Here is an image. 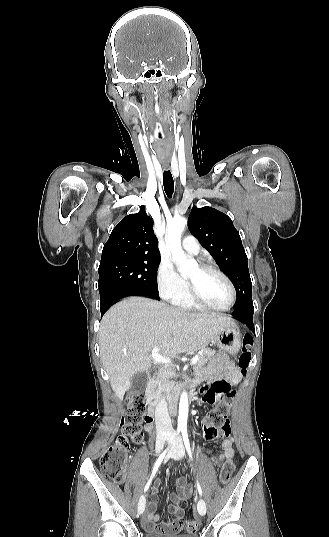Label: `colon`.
Returning <instances> with one entry per match:
<instances>
[{"mask_svg": "<svg viewBox=\"0 0 329 537\" xmlns=\"http://www.w3.org/2000/svg\"><path fill=\"white\" fill-rule=\"evenodd\" d=\"M253 340L245 336L242 343L238 364L241 373L245 374L252 360ZM217 381V380H216ZM205 387V386H203ZM234 393L215 400L216 406L202 420V426L211 430H223L228 422V416L233 404ZM126 412L121 419L122 431L118 437L102 452L100 458L102 474L114 483H122L125 479L127 454L130 443L140 444L143 441V423L151 420L146 414L143 396L139 392L128 394L125 398ZM234 471V463L227 461L220 473V482L226 485L230 482ZM184 531L192 535L197 531V520H184Z\"/></svg>", "mask_w": 329, "mask_h": 537, "instance_id": "1", "label": "colon"}]
</instances>
